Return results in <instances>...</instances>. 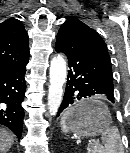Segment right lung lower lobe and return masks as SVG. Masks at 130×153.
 Instances as JSON below:
<instances>
[{
	"label": "right lung lower lobe",
	"instance_id": "right-lung-lower-lobe-1",
	"mask_svg": "<svg viewBox=\"0 0 130 153\" xmlns=\"http://www.w3.org/2000/svg\"><path fill=\"white\" fill-rule=\"evenodd\" d=\"M28 63V62H27ZM0 70V124L8 127L20 139L23 127L26 64Z\"/></svg>",
	"mask_w": 130,
	"mask_h": 153
}]
</instances>
